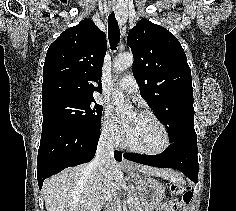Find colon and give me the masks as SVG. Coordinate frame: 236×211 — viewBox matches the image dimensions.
Returning a JSON list of instances; mask_svg holds the SVG:
<instances>
[{"label": "colon", "instance_id": "1", "mask_svg": "<svg viewBox=\"0 0 236 211\" xmlns=\"http://www.w3.org/2000/svg\"><path fill=\"white\" fill-rule=\"evenodd\" d=\"M169 190L171 193L181 196V202L184 205H188L192 201L193 193L192 188L189 185L181 183H172L169 186ZM166 211L169 210L166 209Z\"/></svg>", "mask_w": 236, "mask_h": 211}]
</instances>
